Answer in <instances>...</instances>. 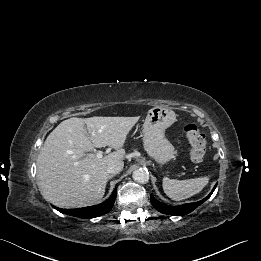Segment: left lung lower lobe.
Listing matches in <instances>:
<instances>
[{
	"instance_id": "1",
	"label": "left lung lower lobe",
	"mask_w": 261,
	"mask_h": 261,
	"mask_svg": "<svg viewBox=\"0 0 261 261\" xmlns=\"http://www.w3.org/2000/svg\"><path fill=\"white\" fill-rule=\"evenodd\" d=\"M215 188H216V185L214 186L213 190L206 198H204L198 202L187 203V204H183L180 206H169L167 204L161 203V202L157 201L153 197L152 194H151L150 200H151L153 207L156 208L159 212L168 214V215L182 216V215H186V214L192 212L196 207H198L200 204H202L204 201H206L212 195Z\"/></svg>"
}]
</instances>
